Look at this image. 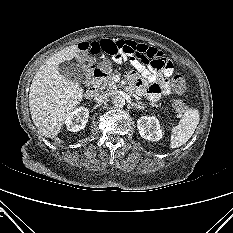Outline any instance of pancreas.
Returning a JSON list of instances; mask_svg holds the SVG:
<instances>
[{"label":"pancreas","mask_w":233,"mask_h":233,"mask_svg":"<svg viewBox=\"0 0 233 233\" xmlns=\"http://www.w3.org/2000/svg\"><path fill=\"white\" fill-rule=\"evenodd\" d=\"M114 73L108 74V76L101 79L99 85L101 89L106 90L107 92H112L117 89V85L113 81Z\"/></svg>","instance_id":"1"}]
</instances>
